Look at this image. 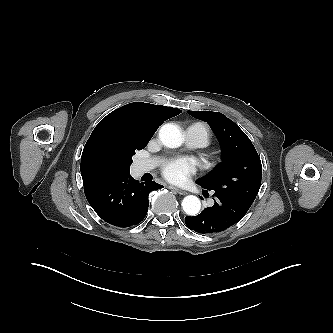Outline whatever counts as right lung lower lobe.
<instances>
[{"label": "right lung lower lobe", "mask_w": 333, "mask_h": 333, "mask_svg": "<svg viewBox=\"0 0 333 333\" xmlns=\"http://www.w3.org/2000/svg\"><path fill=\"white\" fill-rule=\"evenodd\" d=\"M163 188L152 181L139 183L130 174L113 175L84 188L86 198L100 216L109 224L129 227L140 223L149 206L148 195Z\"/></svg>", "instance_id": "right-lung-lower-lobe-1"}]
</instances>
